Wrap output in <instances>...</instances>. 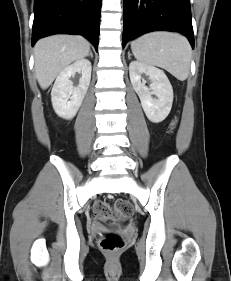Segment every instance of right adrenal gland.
<instances>
[{
	"label": "right adrenal gland",
	"mask_w": 231,
	"mask_h": 281,
	"mask_svg": "<svg viewBox=\"0 0 231 281\" xmlns=\"http://www.w3.org/2000/svg\"><path fill=\"white\" fill-rule=\"evenodd\" d=\"M88 56H90L91 58H93V54H92V52H90Z\"/></svg>",
	"instance_id": "1"
}]
</instances>
